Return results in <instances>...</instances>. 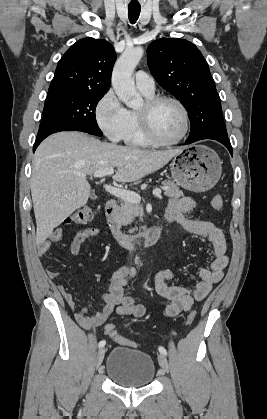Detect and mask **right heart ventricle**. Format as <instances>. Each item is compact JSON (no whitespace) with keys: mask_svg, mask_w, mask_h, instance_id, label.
<instances>
[{"mask_svg":"<svg viewBox=\"0 0 267 419\" xmlns=\"http://www.w3.org/2000/svg\"><path fill=\"white\" fill-rule=\"evenodd\" d=\"M147 98L154 96V94L143 93ZM125 143L133 147H146L152 143L144 136L137 111L128 110V128L125 133L124 139Z\"/></svg>","mask_w":267,"mask_h":419,"instance_id":"right-heart-ventricle-1","label":"right heart ventricle"}]
</instances>
